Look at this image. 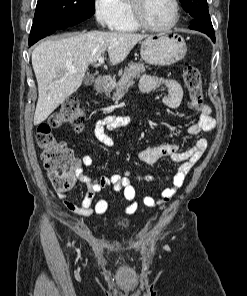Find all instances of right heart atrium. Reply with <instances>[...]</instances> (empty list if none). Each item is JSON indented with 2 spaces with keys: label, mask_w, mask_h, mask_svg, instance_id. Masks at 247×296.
Masks as SVG:
<instances>
[{
  "label": "right heart atrium",
  "mask_w": 247,
  "mask_h": 296,
  "mask_svg": "<svg viewBox=\"0 0 247 296\" xmlns=\"http://www.w3.org/2000/svg\"><path fill=\"white\" fill-rule=\"evenodd\" d=\"M93 15L102 28H114L120 18L119 0H93Z\"/></svg>",
  "instance_id": "1"
}]
</instances>
